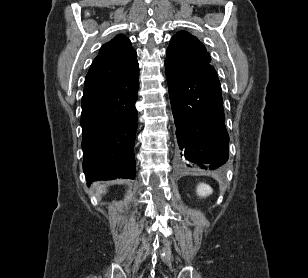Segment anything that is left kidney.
Listing matches in <instances>:
<instances>
[{
	"instance_id": "obj_1",
	"label": "left kidney",
	"mask_w": 308,
	"mask_h": 278,
	"mask_svg": "<svg viewBox=\"0 0 308 278\" xmlns=\"http://www.w3.org/2000/svg\"><path fill=\"white\" fill-rule=\"evenodd\" d=\"M212 192H213L212 188L204 183L199 184L197 187V194L200 197H206L210 195Z\"/></svg>"
}]
</instances>
